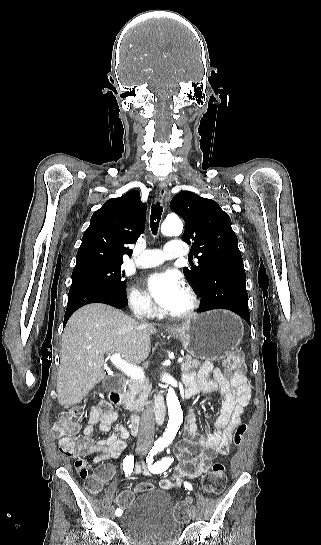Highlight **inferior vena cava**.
<instances>
[{"instance_id": "inferior-vena-cava-1", "label": "inferior vena cava", "mask_w": 321, "mask_h": 545, "mask_svg": "<svg viewBox=\"0 0 321 545\" xmlns=\"http://www.w3.org/2000/svg\"><path fill=\"white\" fill-rule=\"evenodd\" d=\"M133 309L136 319H142L141 315H143L144 311L142 305H134ZM143 325H145V323H143ZM154 425V413L152 407L149 405L146 411L142 413L140 419L138 441L136 445L138 450L147 451L151 449V443L154 441Z\"/></svg>"}]
</instances>
